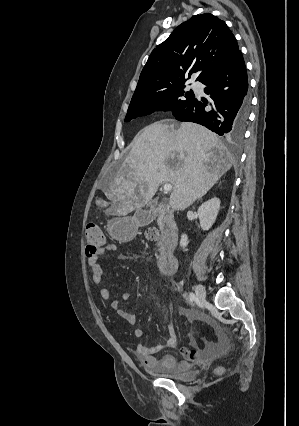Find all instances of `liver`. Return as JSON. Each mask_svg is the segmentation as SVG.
Returning a JSON list of instances; mask_svg holds the SVG:
<instances>
[{"mask_svg": "<svg viewBox=\"0 0 299 426\" xmlns=\"http://www.w3.org/2000/svg\"><path fill=\"white\" fill-rule=\"evenodd\" d=\"M231 167L227 148L205 127L152 123L134 139L117 176L104 189L111 201L106 213L125 216L145 206L162 183L173 186L171 207L185 210Z\"/></svg>", "mask_w": 299, "mask_h": 426, "instance_id": "liver-1", "label": "liver"}]
</instances>
